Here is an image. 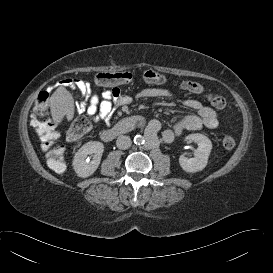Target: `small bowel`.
Segmentation results:
<instances>
[{
    "label": "small bowel",
    "mask_w": 273,
    "mask_h": 273,
    "mask_svg": "<svg viewBox=\"0 0 273 273\" xmlns=\"http://www.w3.org/2000/svg\"><path fill=\"white\" fill-rule=\"evenodd\" d=\"M189 81L182 83V88L191 93L201 94L204 91L193 92L189 89ZM197 83V82H196ZM60 85L78 90L84 97V101L76 104L75 108L78 113H86L95 122H109L115 107L126 106L131 103V97L122 94L119 88L106 89L101 92H94L91 85L82 79L66 78L59 82ZM174 93L161 87H150L140 90L137 98L155 99L171 97ZM184 105L196 111V114H187L182 116L172 128L165 129L162 132V138L166 143H170L174 138L184 131H195L201 128L215 129L218 126V117L214 109L203 104L196 99H188L184 101ZM160 129L157 121H152L149 128V134L155 135Z\"/></svg>",
    "instance_id": "1"
}]
</instances>
